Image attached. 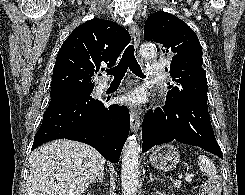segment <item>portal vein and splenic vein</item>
Wrapping results in <instances>:
<instances>
[{
	"mask_svg": "<svg viewBox=\"0 0 245 195\" xmlns=\"http://www.w3.org/2000/svg\"><path fill=\"white\" fill-rule=\"evenodd\" d=\"M184 179H185V181H187V182H191V181H192V177H191L190 175H186ZM177 184H179V181H176V182H175V185H177Z\"/></svg>",
	"mask_w": 245,
	"mask_h": 195,
	"instance_id": "1",
	"label": "portal vein and splenic vein"
}]
</instances>
